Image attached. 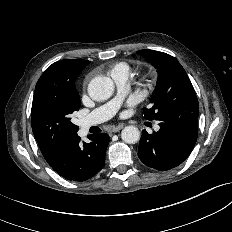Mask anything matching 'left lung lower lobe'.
<instances>
[{
    "mask_svg": "<svg viewBox=\"0 0 232 232\" xmlns=\"http://www.w3.org/2000/svg\"><path fill=\"white\" fill-rule=\"evenodd\" d=\"M158 121V132L142 131L138 156L146 166L167 171L179 166L190 155L197 140L198 112H171Z\"/></svg>",
    "mask_w": 232,
    "mask_h": 232,
    "instance_id": "obj_1",
    "label": "left lung lower lobe"
}]
</instances>
